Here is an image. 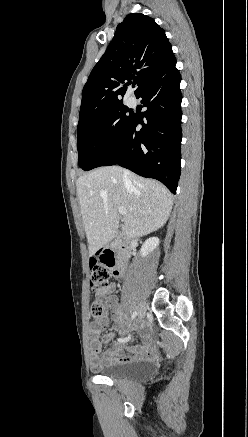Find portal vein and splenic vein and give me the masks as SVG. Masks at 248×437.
I'll use <instances>...</instances> for the list:
<instances>
[{"label":"portal vein and splenic vein","mask_w":248,"mask_h":437,"mask_svg":"<svg viewBox=\"0 0 248 437\" xmlns=\"http://www.w3.org/2000/svg\"><path fill=\"white\" fill-rule=\"evenodd\" d=\"M118 211L121 215L125 216L127 214L126 210L123 207H119Z\"/></svg>","instance_id":"obj_1"}]
</instances>
